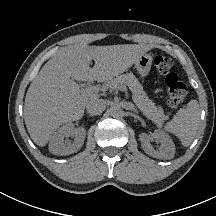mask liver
Here are the masks:
<instances>
[{
    "mask_svg": "<svg viewBox=\"0 0 216 216\" xmlns=\"http://www.w3.org/2000/svg\"><path fill=\"white\" fill-rule=\"evenodd\" d=\"M149 50L150 47L138 44L80 43L61 48L42 67L26 93L24 119L34 143L44 147L60 125L81 119L88 101L99 98L98 92H81L74 80L109 81Z\"/></svg>",
    "mask_w": 216,
    "mask_h": 216,
    "instance_id": "obj_1",
    "label": "liver"
}]
</instances>
